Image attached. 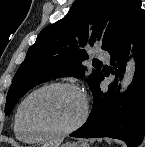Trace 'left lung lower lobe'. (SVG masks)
Here are the masks:
<instances>
[{
	"label": "left lung lower lobe",
	"mask_w": 145,
	"mask_h": 147,
	"mask_svg": "<svg viewBox=\"0 0 145 147\" xmlns=\"http://www.w3.org/2000/svg\"><path fill=\"white\" fill-rule=\"evenodd\" d=\"M141 0H131L119 33L108 48L111 56L110 73L116 77L107 92L100 82L109 75L104 72L95 84L93 106L84 125L71 133L72 137H110L123 140L128 147H138L145 134V10ZM132 45L136 72L131 85L122 95L118 83L125 71Z\"/></svg>",
	"instance_id": "left-lung-lower-lobe-1"
}]
</instances>
